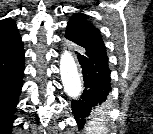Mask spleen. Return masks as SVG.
Returning <instances> with one entry per match:
<instances>
[{
    "mask_svg": "<svg viewBox=\"0 0 153 134\" xmlns=\"http://www.w3.org/2000/svg\"><path fill=\"white\" fill-rule=\"evenodd\" d=\"M106 124V113L103 109H96L85 127L86 134H106Z\"/></svg>",
    "mask_w": 153,
    "mask_h": 134,
    "instance_id": "1",
    "label": "spleen"
}]
</instances>
